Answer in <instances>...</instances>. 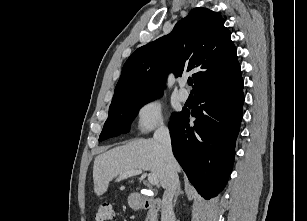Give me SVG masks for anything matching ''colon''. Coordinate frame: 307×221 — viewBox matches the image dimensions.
Returning a JSON list of instances; mask_svg holds the SVG:
<instances>
[{
	"label": "colon",
	"instance_id": "5ec220e1",
	"mask_svg": "<svg viewBox=\"0 0 307 221\" xmlns=\"http://www.w3.org/2000/svg\"><path fill=\"white\" fill-rule=\"evenodd\" d=\"M113 210L110 203H102L95 214V221H112Z\"/></svg>",
	"mask_w": 307,
	"mask_h": 221
}]
</instances>
